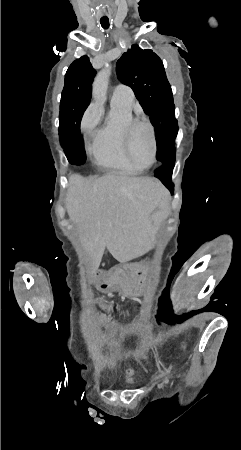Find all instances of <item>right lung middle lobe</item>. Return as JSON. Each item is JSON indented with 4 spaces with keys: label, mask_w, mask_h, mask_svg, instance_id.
I'll use <instances>...</instances> for the list:
<instances>
[{
    "label": "right lung middle lobe",
    "mask_w": 241,
    "mask_h": 450,
    "mask_svg": "<svg viewBox=\"0 0 241 450\" xmlns=\"http://www.w3.org/2000/svg\"><path fill=\"white\" fill-rule=\"evenodd\" d=\"M92 75H81L65 81L60 102L59 114V138L65 148V154L73 165L83 164L86 160L85 152L82 154H67L65 141L66 135L76 117L82 115L91 100Z\"/></svg>",
    "instance_id": "1"
}]
</instances>
